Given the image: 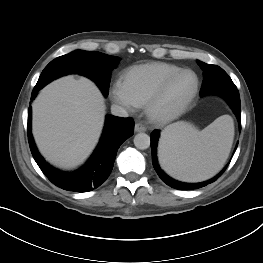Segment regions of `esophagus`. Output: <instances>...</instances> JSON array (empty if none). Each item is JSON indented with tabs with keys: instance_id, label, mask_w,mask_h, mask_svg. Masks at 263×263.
<instances>
[{
	"instance_id": "34e87169",
	"label": "esophagus",
	"mask_w": 263,
	"mask_h": 263,
	"mask_svg": "<svg viewBox=\"0 0 263 263\" xmlns=\"http://www.w3.org/2000/svg\"><path fill=\"white\" fill-rule=\"evenodd\" d=\"M146 127L142 125L141 123H136L135 124V132H145Z\"/></svg>"
}]
</instances>
